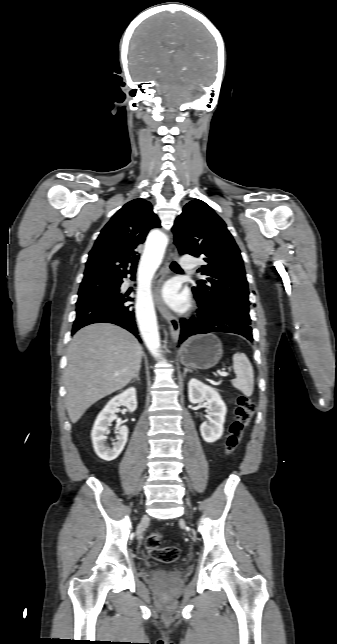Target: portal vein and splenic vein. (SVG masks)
<instances>
[{"label":"portal vein and splenic vein","mask_w":337,"mask_h":644,"mask_svg":"<svg viewBox=\"0 0 337 644\" xmlns=\"http://www.w3.org/2000/svg\"><path fill=\"white\" fill-rule=\"evenodd\" d=\"M219 375L223 377H227L229 376V373L222 371V372H219Z\"/></svg>","instance_id":"obj_1"}]
</instances>
